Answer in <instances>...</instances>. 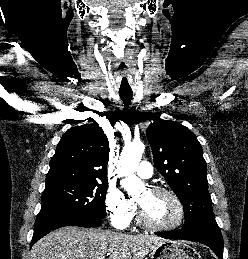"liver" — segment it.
<instances>
[{
    "mask_svg": "<svg viewBox=\"0 0 248 259\" xmlns=\"http://www.w3.org/2000/svg\"><path fill=\"white\" fill-rule=\"evenodd\" d=\"M165 242L166 239L153 235L67 226L37 241L30 259H99L106 254L109 259H143Z\"/></svg>",
    "mask_w": 248,
    "mask_h": 259,
    "instance_id": "liver-1",
    "label": "liver"
}]
</instances>
